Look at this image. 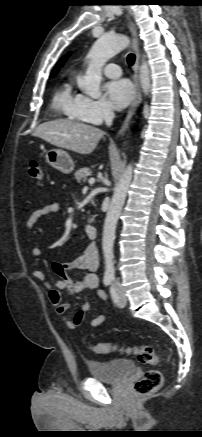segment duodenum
<instances>
[{"instance_id":"obj_1","label":"duodenum","mask_w":202,"mask_h":437,"mask_svg":"<svg viewBox=\"0 0 202 437\" xmlns=\"http://www.w3.org/2000/svg\"><path fill=\"white\" fill-rule=\"evenodd\" d=\"M86 234L89 238H96L98 234V228L94 219L90 220L86 225Z\"/></svg>"}]
</instances>
